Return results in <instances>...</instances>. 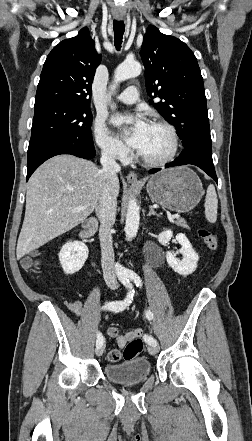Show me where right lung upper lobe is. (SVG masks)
Returning a JSON list of instances; mask_svg holds the SVG:
<instances>
[{
  "instance_id": "1",
  "label": "right lung upper lobe",
  "mask_w": 252,
  "mask_h": 441,
  "mask_svg": "<svg viewBox=\"0 0 252 441\" xmlns=\"http://www.w3.org/2000/svg\"><path fill=\"white\" fill-rule=\"evenodd\" d=\"M100 60L87 28L61 41L44 63L35 106L53 102L90 105L92 81Z\"/></svg>"
}]
</instances>
